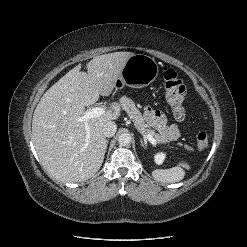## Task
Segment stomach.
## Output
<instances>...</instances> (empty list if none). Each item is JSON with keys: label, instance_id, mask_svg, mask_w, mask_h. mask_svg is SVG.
Wrapping results in <instances>:
<instances>
[{"label": "stomach", "instance_id": "obj_1", "mask_svg": "<svg viewBox=\"0 0 247 247\" xmlns=\"http://www.w3.org/2000/svg\"><path fill=\"white\" fill-rule=\"evenodd\" d=\"M159 74L158 64L155 59L144 55L134 54L126 61L121 75L115 83V88L123 86L143 88L155 81Z\"/></svg>", "mask_w": 247, "mask_h": 247}]
</instances>
